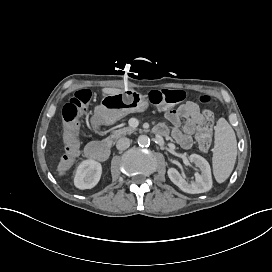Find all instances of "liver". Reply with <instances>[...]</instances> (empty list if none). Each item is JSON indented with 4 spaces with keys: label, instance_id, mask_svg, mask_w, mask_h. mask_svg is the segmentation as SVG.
Masks as SVG:
<instances>
[{
    "label": "liver",
    "instance_id": "6515ba94",
    "mask_svg": "<svg viewBox=\"0 0 272 272\" xmlns=\"http://www.w3.org/2000/svg\"><path fill=\"white\" fill-rule=\"evenodd\" d=\"M103 91L108 94H115V93L120 92L118 89H113V88H105V89H103Z\"/></svg>",
    "mask_w": 272,
    "mask_h": 272
}]
</instances>
